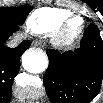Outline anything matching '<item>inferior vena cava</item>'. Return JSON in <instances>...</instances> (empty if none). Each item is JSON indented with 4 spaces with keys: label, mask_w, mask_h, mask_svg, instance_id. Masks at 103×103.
<instances>
[{
    "label": "inferior vena cava",
    "mask_w": 103,
    "mask_h": 103,
    "mask_svg": "<svg viewBox=\"0 0 103 103\" xmlns=\"http://www.w3.org/2000/svg\"><path fill=\"white\" fill-rule=\"evenodd\" d=\"M21 38H22L21 35L16 36L12 41L8 43V46L11 48L16 47L19 44Z\"/></svg>",
    "instance_id": "1"
}]
</instances>
